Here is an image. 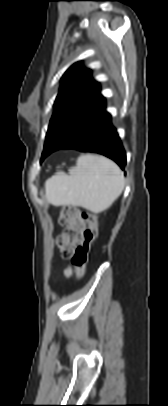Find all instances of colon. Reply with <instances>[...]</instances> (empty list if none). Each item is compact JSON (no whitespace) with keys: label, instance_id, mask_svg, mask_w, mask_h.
Segmentation results:
<instances>
[{"label":"colon","instance_id":"colon-1","mask_svg":"<svg viewBox=\"0 0 168 406\" xmlns=\"http://www.w3.org/2000/svg\"><path fill=\"white\" fill-rule=\"evenodd\" d=\"M59 223L65 230L58 238V246L62 256L70 259L79 280L85 275L89 249L97 237V215L76 207H64Z\"/></svg>","mask_w":168,"mask_h":406}]
</instances>
